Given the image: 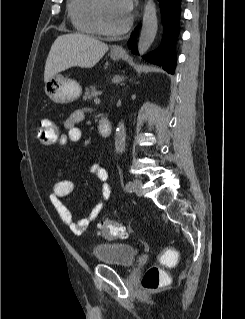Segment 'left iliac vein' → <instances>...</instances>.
<instances>
[{
    "mask_svg": "<svg viewBox=\"0 0 245 319\" xmlns=\"http://www.w3.org/2000/svg\"><path fill=\"white\" fill-rule=\"evenodd\" d=\"M133 192L137 195V196H142L143 194V190H142V183L139 180H134L133 182Z\"/></svg>",
    "mask_w": 245,
    "mask_h": 319,
    "instance_id": "left-iliac-vein-1",
    "label": "left iliac vein"
}]
</instances>
